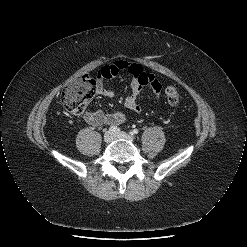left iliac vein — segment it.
Listing matches in <instances>:
<instances>
[{"label":"left iliac vein","mask_w":247,"mask_h":247,"mask_svg":"<svg viewBox=\"0 0 247 247\" xmlns=\"http://www.w3.org/2000/svg\"><path fill=\"white\" fill-rule=\"evenodd\" d=\"M114 138L115 139H125V140L131 141V142L134 141V138L125 132H120V133L114 134Z\"/></svg>","instance_id":"4c4485c4"}]
</instances>
